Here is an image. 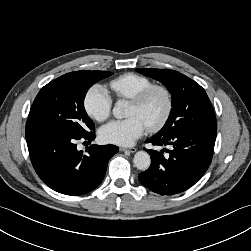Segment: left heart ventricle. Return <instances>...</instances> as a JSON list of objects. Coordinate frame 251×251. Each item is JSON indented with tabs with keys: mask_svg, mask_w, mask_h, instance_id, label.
I'll return each instance as SVG.
<instances>
[{
	"mask_svg": "<svg viewBox=\"0 0 251 251\" xmlns=\"http://www.w3.org/2000/svg\"><path fill=\"white\" fill-rule=\"evenodd\" d=\"M164 97L160 93H155L151 96L144 106H137L130 103L127 115L140 117L147 127L153 123L162 113L164 109Z\"/></svg>",
	"mask_w": 251,
	"mask_h": 251,
	"instance_id": "1",
	"label": "left heart ventricle"
}]
</instances>
